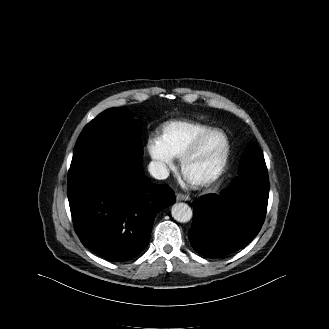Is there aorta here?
Segmentation results:
<instances>
[{
    "instance_id": "1",
    "label": "aorta",
    "mask_w": 329,
    "mask_h": 329,
    "mask_svg": "<svg viewBox=\"0 0 329 329\" xmlns=\"http://www.w3.org/2000/svg\"><path fill=\"white\" fill-rule=\"evenodd\" d=\"M172 217L181 223L190 221L192 218V209L186 203H175L171 209Z\"/></svg>"
}]
</instances>
